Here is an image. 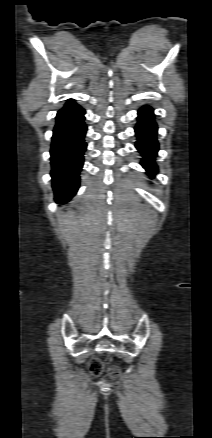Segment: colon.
Listing matches in <instances>:
<instances>
[{"label":"colon","mask_w":212,"mask_h":438,"mask_svg":"<svg viewBox=\"0 0 212 438\" xmlns=\"http://www.w3.org/2000/svg\"><path fill=\"white\" fill-rule=\"evenodd\" d=\"M89 366L91 373L94 375H99L103 369V364L101 363V361L96 359L92 360ZM112 373L116 375L118 373V369L113 368Z\"/></svg>","instance_id":"colon-1"}]
</instances>
